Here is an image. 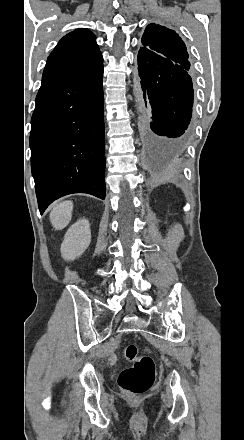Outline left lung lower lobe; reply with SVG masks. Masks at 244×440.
Returning <instances> with one entry per match:
<instances>
[{
	"label": "left lung lower lobe",
	"instance_id": "0a47b994",
	"mask_svg": "<svg viewBox=\"0 0 244 440\" xmlns=\"http://www.w3.org/2000/svg\"><path fill=\"white\" fill-rule=\"evenodd\" d=\"M138 71L144 149L150 155L181 150L190 136L194 96L190 75L180 67L139 61Z\"/></svg>",
	"mask_w": 244,
	"mask_h": 440
}]
</instances>
